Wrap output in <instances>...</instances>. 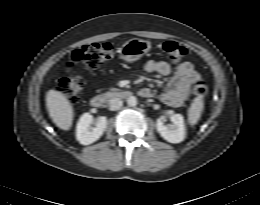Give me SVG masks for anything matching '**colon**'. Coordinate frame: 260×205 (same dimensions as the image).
<instances>
[{
    "instance_id": "obj_1",
    "label": "colon",
    "mask_w": 260,
    "mask_h": 205,
    "mask_svg": "<svg viewBox=\"0 0 260 205\" xmlns=\"http://www.w3.org/2000/svg\"><path fill=\"white\" fill-rule=\"evenodd\" d=\"M163 51L173 63L182 61L187 55V49L174 41H167L163 45ZM114 56V49L109 42H96L84 45L73 51L71 61L66 64V74L56 81L55 86L70 100L76 101L83 89V80L79 75L71 73L75 65L82 63L90 69H95ZM192 92L199 98L208 95L209 88L205 81L199 80L192 86Z\"/></svg>"
}]
</instances>
